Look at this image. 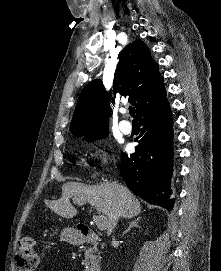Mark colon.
<instances>
[{
	"label": "colon",
	"instance_id": "colon-1",
	"mask_svg": "<svg viewBox=\"0 0 221 271\" xmlns=\"http://www.w3.org/2000/svg\"><path fill=\"white\" fill-rule=\"evenodd\" d=\"M16 266L18 271H39L41 263L36 242L31 237H23L17 246Z\"/></svg>",
	"mask_w": 221,
	"mask_h": 271
}]
</instances>
